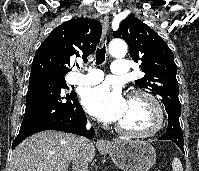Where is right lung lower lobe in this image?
Listing matches in <instances>:
<instances>
[{"instance_id": "right-lung-lower-lobe-1", "label": "right lung lower lobe", "mask_w": 199, "mask_h": 171, "mask_svg": "<svg viewBox=\"0 0 199 171\" xmlns=\"http://www.w3.org/2000/svg\"><path fill=\"white\" fill-rule=\"evenodd\" d=\"M62 88L53 80L29 81L25 114L12 149L28 136L44 130H59L93 138L94 130L87 131L85 128L87 118L76 94L64 95Z\"/></svg>"}]
</instances>
